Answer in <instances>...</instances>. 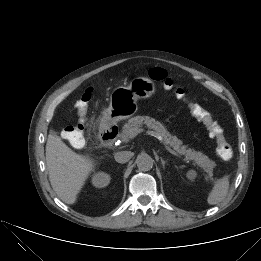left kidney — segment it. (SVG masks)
<instances>
[{"instance_id": "1", "label": "left kidney", "mask_w": 261, "mask_h": 261, "mask_svg": "<svg viewBox=\"0 0 261 261\" xmlns=\"http://www.w3.org/2000/svg\"><path fill=\"white\" fill-rule=\"evenodd\" d=\"M196 172L194 170H190L187 172L186 176L189 180H194L196 178Z\"/></svg>"}]
</instances>
